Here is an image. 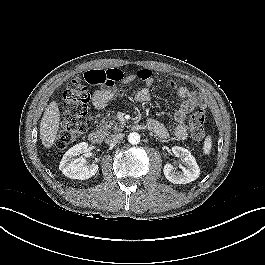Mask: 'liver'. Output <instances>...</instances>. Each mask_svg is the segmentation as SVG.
<instances>
[{"label":"liver","instance_id":"liver-1","mask_svg":"<svg viewBox=\"0 0 265 265\" xmlns=\"http://www.w3.org/2000/svg\"><path fill=\"white\" fill-rule=\"evenodd\" d=\"M59 123V107L55 101H52L47 106L40 123V138L45 148H51L55 143Z\"/></svg>","mask_w":265,"mask_h":265}]
</instances>
